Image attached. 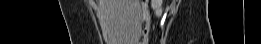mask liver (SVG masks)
Returning <instances> with one entry per match:
<instances>
[{
  "mask_svg": "<svg viewBox=\"0 0 261 44\" xmlns=\"http://www.w3.org/2000/svg\"><path fill=\"white\" fill-rule=\"evenodd\" d=\"M106 12L108 36L114 44H136L141 35L139 0H100Z\"/></svg>",
  "mask_w": 261,
  "mask_h": 44,
  "instance_id": "1",
  "label": "liver"
}]
</instances>
